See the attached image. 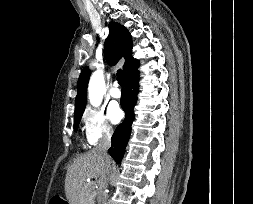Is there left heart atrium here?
Masks as SVG:
<instances>
[{
  "label": "left heart atrium",
  "instance_id": "left-heart-atrium-1",
  "mask_svg": "<svg viewBox=\"0 0 253 204\" xmlns=\"http://www.w3.org/2000/svg\"><path fill=\"white\" fill-rule=\"evenodd\" d=\"M109 117L112 120V122L117 123L122 118V111L119 108L118 105L113 104L108 109Z\"/></svg>",
  "mask_w": 253,
  "mask_h": 204
}]
</instances>
